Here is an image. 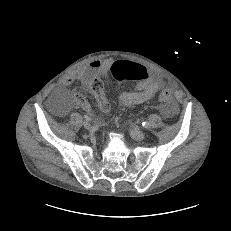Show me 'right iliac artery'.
<instances>
[{"instance_id":"obj_1","label":"right iliac artery","mask_w":231,"mask_h":231,"mask_svg":"<svg viewBox=\"0 0 231 231\" xmlns=\"http://www.w3.org/2000/svg\"><path fill=\"white\" fill-rule=\"evenodd\" d=\"M84 118H85L86 121H90L91 120V118L89 116H87V115H84Z\"/></svg>"}]
</instances>
